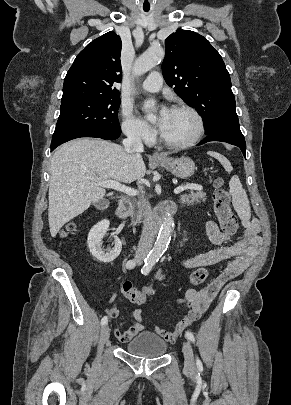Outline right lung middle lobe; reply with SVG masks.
<instances>
[{"mask_svg":"<svg viewBox=\"0 0 291 405\" xmlns=\"http://www.w3.org/2000/svg\"><path fill=\"white\" fill-rule=\"evenodd\" d=\"M120 96L81 98L61 102L51 145L85 134H119Z\"/></svg>","mask_w":291,"mask_h":405,"instance_id":"dd1d6c3e","label":"right lung middle lobe"}]
</instances>
